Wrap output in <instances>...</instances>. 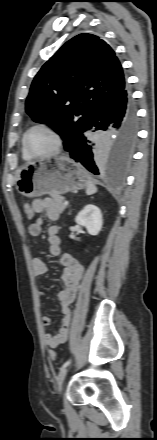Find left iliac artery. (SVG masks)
<instances>
[{
    "label": "left iliac artery",
    "mask_w": 157,
    "mask_h": 440,
    "mask_svg": "<svg viewBox=\"0 0 157 440\" xmlns=\"http://www.w3.org/2000/svg\"><path fill=\"white\" fill-rule=\"evenodd\" d=\"M70 363H71V359H69L68 361H66V362L62 365L61 369L66 368Z\"/></svg>",
    "instance_id": "left-iliac-artery-1"
}]
</instances>
